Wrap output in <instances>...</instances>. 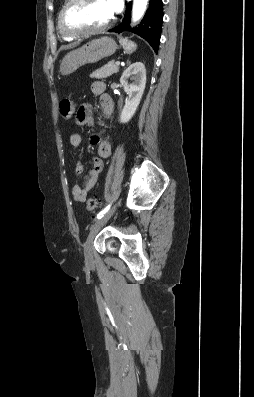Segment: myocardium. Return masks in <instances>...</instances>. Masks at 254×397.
<instances>
[{"label": "myocardium", "instance_id": "1", "mask_svg": "<svg viewBox=\"0 0 254 397\" xmlns=\"http://www.w3.org/2000/svg\"><path fill=\"white\" fill-rule=\"evenodd\" d=\"M86 1H88V0H68L66 2V4L63 6V8L61 9V11L59 13V17H58V27L63 34L70 36V37L77 38V37H81V36H87V35L101 33L113 25L115 19L112 17L106 24H104L100 27H96V28L72 29V28L68 27L65 23V17H66L67 12L75 4L83 3Z\"/></svg>", "mask_w": 254, "mask_h": 397}]
</instances>
